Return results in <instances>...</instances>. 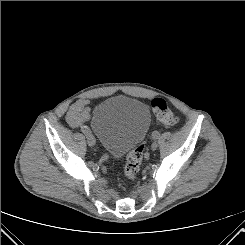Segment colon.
Listing matches in <instances>:
<instances>
[{
	"instance_id": "obj_1",
	"label": "colon",
	"mask_w": 245,
	"mask_h": 245,
	"mask_svg": "<svg viewBox=\"0 0 245 245\" xmlns=\"http://www.w3.org/2000/svg\"><path fill=\"white\" fill-rule=\"evenodd\" d=\"M151 105L157 118L166 125H175L179 122V117L174 115L168 108L167 103L162 98H154ZM144 146L142 144L136 146L127 156L124 166V176L131 180L136 177L140 170L143 159Z\"/></svg>"
}]
</instances>
